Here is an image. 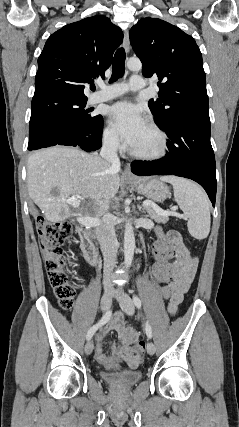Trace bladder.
Instances as JSON below:
<instances>
[{
	"label": "bladder",
	"instance_id": "31cf9c89",
	"mask_svg": "<svg viewBox=\"0 0 239 427\" xmlns=\"http://www.w3.org/2000/svg\"><path fill=\"white\" fill-rule=\"evenodd\" d=\"M142 377L138 370H115L113 372H101V378L108 384L117 387H129L136 384Z\"/></svg>",
	"mask_w": 239,
	"mask_h": 427
}]
</instances>
